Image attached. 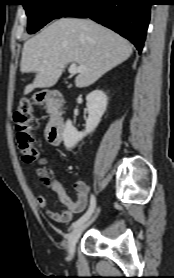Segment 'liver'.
Returning a JSON list of instances; mask_svg holds the SVG:
<instances>
[{
    "label": "liver",
    "mask_w": 174,
    "mask_h": 278,
    "mask_svg": "<svg viewBox=\"0 0 174 278\" xmlns=\"http://www.w3.org/2000/svg\"><path fill=\"white\" fill-rule=\"evenodd\" d=\"M132 52L126 39L90 19L60 18L24 43L21 72L36 73L24 94L54 86L70 62L86 67L76 76L75 85L87 87Z\"/></svg>",
    "instance_id": "1"
}]
</instances>
